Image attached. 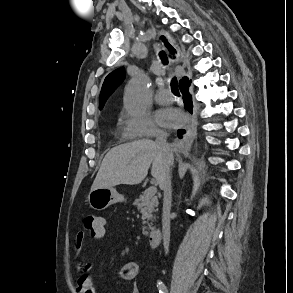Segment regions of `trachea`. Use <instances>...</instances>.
<instances>
[{
    "mask_svg": "<svg viewBox=\"0 0 293 293\" xmlns=\"http://www.w3.org/2000/svg\"><path fill=\"white\" fill-rule=\"evenodd\" d=\"M160 55V58L162 60V62L166 65L168 64V59H167V56L165 54L164 51H161L159 53ZM171 90L174 94H179V91H178V81H177V78L174 77L172 80H171Z\"/></svg>",
    "mask_w": 293,
    "mask_h": 293,
    "instance_id": "trachea-1",
    "label": "trachea"
}]
</instances>
